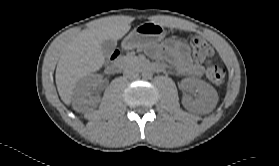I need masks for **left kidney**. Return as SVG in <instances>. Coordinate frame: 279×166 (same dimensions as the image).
I'll return each mask as SVG.
<instances>
[{"label":"left kidney","instance_id":"left-kidney-1","mask_svg":"<svg viewBox=\"0 0 279 166\" xmlns=\"http://www.w3.org/2000/svg\"><path fill=\"white\" fill-rule=\"evenodd\" d=\"M186 86L194 87L197 95L195 99L185 95L182 98V105L188 110H202L208 108L211 104L217 101L216 90L208 83L193 79L186 78L183 80Z\"/></svg>","mask_w":279,"mask_h":166}]
</instances>
